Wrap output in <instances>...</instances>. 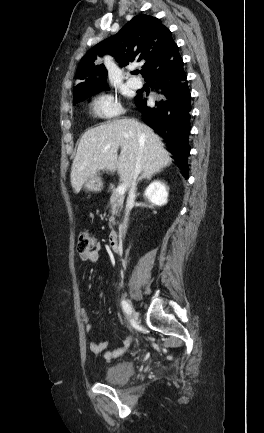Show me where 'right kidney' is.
<instances>
[{
    "label": "right kidney",
    "instance_id": "obj_1",
    "mask_svg": "<svg viewBox=\"0 0 264 433\" xmlns=\"http://www.w3.org/2000/svg\"><path fill=\"white\" fill-rule=\"evenodd\" d=\"M144 196L154 205L162 206L167 203L168 190L163 182L156 180L147 187Z\"/></svg>",
    "mask_w": 264,
    "mask_h": 433
}]
</instances>
